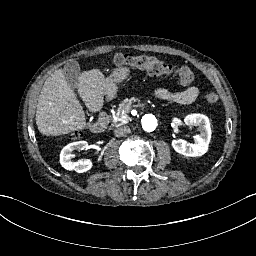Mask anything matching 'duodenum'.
Wrapping results in <instances>:
<instances>
[{
    "instance_id": "410a0bca",
    "label": "duodenum",
    "mask_w": 256,
    "mask_h": 256,
    "mask_svg": "<svg viewBox=\"0 0 256 256\" xmlns=\"http://www.w3.org/2000/svg\"><path fill=\"white\" fill-rule=\"evenodd\" d=\"M129 70L126 67H119L114 73L111 74L110 77L107 78L106 80V90H107V95L109 98L114 99L117 97L118 92H117V87L116 84L120 80H126L129 77ZM110 121V116L107 112V110L103 109L99 113L97 122L92 126V130L96 134H101L103 133Z\"/></svg>"
}]
</instances>
